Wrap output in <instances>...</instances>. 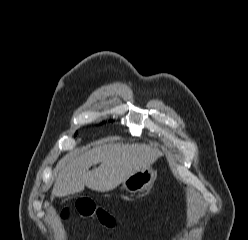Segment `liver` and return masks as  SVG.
<instances>
[{
  "label": "liver",
  "instance_id": "obj_1",
  "mask_svg": "<svg viewBox=\"0 0 248 240\" xmlns=\"http://www.w3.org/2000/svg\"><path fill=\"white\" fill-rule=\"evenodd\" d=\"M161 151L146 144H104L82 154H67L56 166L54 197H65L82 192L86 187L97 192H108L123 183L133 173L149 168ZM99 167L89 170L92 165Z\"/></svg>",
  "mask_w": 248,
  "mask_h": 240
}]
</instances>
